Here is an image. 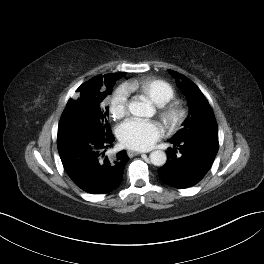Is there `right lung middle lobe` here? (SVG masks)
<instances>
[{"label": "right lung middle lobe", "mask_w": 264, "mask_h": 264, "mask_svg": "<svg viewBox=\"0 0 264 264\" xmlns=\"http://www.w3.org/2000/svg\"><path fill=\"white\" fill-rule=\"evenodd\" d=\"M123 76L124 73L106 85L86 87L79 93L78 99H70L58 126L57 139L90 130L98 131L100 134L111 133L110 125L107 123L108 107L104 110L101 102L111 93L115 81Z\"/></svg>", "instance_id": "dd1d6c3e"}]
</instances>
